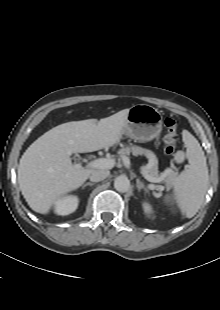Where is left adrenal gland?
I'll return each instance as SVG.
<instances>
[{"label": "left adrenal gland", "instance_id": "1", "mask_svg": "<svg viewBox=\"0 0 220 310\" xmlns=\"http://www.w3.org/2000/svg\"><path fill=\"white\" fill-rule=\"evenodd\" d=\"M136 183H137L136 187L138 188V191H141L143 189L145 192H148V189L144 186V184L139 179L136 180Z\"/></svg>", "mask_w": 220, "mask_h": 310}]
</instances>
